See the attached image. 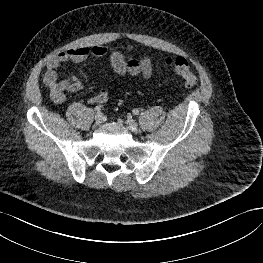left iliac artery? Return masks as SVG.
Listing matches in <instances>:
<instances>
[{"mask_svg": "<svg viewBox=\"0 0 263 263\" xmlns=\"http://www.w3.org/2000/svg\"><path fill=\"white\" fill-rule=\"evenodd\" d=\"M133 114L134 115H138L139 114V111L137 109H133Z\"/></svg>", "mask_w": 263, "mask_h": 263, "instance_id": "44dca946", "label": "left iliac artery"}]
</instances>
